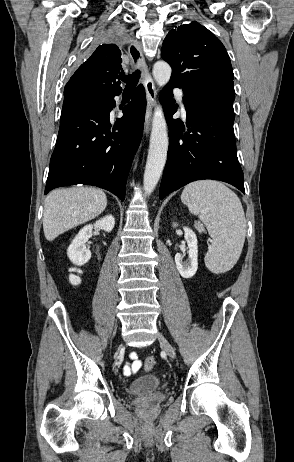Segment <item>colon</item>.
<instances>
[{
	"label": "colon",
	"instance_id": "obj_1",
	"mask_svg": "<svg viewBox=\"0 0 294 462\" xmlns=\"http://www.w3.org/2000/svg\"><path fill=\"white\" fill-rule=\"evenodd\" d=\"M69 280L73 285H77L80 282L79 278V269L78 268H72L71 273L69 276ZM156 365V360L154 357H148L145 361V369L150 370Z\"/></svg>",
	"mask_w": 294,
	"mask_h": 462
}]
</instances>
